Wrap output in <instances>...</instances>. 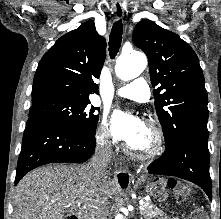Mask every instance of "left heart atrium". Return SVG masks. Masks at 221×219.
<instances>
[{
    "label": "left heart atrium",
    "mask_w": 221,
    "mask_h": 219,
    "mask_svg": "<svg viewBox=\"0 0 221 219\" xmlns=\"http://www.w3.org/2000/svg\"><path fill=\"white\" fill-rule=\"evenodd\" d=\"M142 121L133 113L115 111L110 120V131L115 140L129 142L143 128Z\"/></svg>",
    "instance_id": "obj_1"
}]
</instances>
